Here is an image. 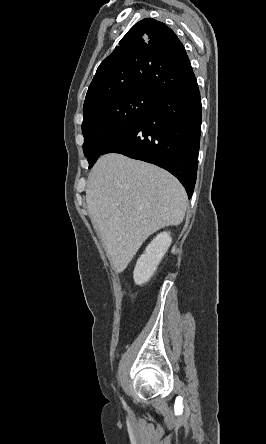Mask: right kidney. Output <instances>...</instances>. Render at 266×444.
Returning a JSON list of instances; mask_svg holds the SVG:
<instances>
[{"instance_id": "obj_1", "label": "right kidney", "mask_w": 266, "mask_h": 444, "mask_svg": "<svg viewBox=\"0 0 266 444\" xmlns=\"http://www.w3.org/2000/svg\"><path fill=\"white\" fill-rule=\"evenodd\" d=\"M172 242L169 232L158 234L146 247L143 255L138 259L133 278L137 285H142L150 280L160 261L167 252Z\"/></svg>"}]
</instances>
